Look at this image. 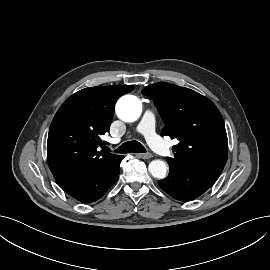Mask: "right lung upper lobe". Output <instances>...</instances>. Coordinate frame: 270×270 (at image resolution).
Listing matches in <instances>:
<instances>
[{"label": "right lung upper lobe", "mask_w": 270, "mask_h": 270, "mask_svg": "<svg viewBox=\"0 0 270 270\" xmlns=\"http://www.w3.org/2000/svg\"><path fill=\"white\" fill-rule=\"evenodd\" d=\"M134 86L111 85L82 89L58 109L49 128L47 160L60 187L103 172L122 155L97 151L109 131L117 99Z\"/></svg>", "instance_id": "1"}]
</instances>
